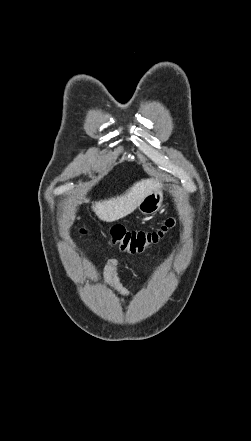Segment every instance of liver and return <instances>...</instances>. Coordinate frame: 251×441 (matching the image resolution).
<instances>
[{"label": "liver", "mask_w": 251, "mask_h": 441, "mask_svg": "<svg viewBox=\"0 0 251 441\" xmlns=\"http://www.w3.org/2000/svg\"><path fill=\"white\" fill-rule=\"evenodd\" d=\"M159 187L157 180L142 179L120 196L92 203V209L100 220L106 222L119 220L132 213L148 194Z\"/></svg>", "instance_id": "1"}]
</instances>
